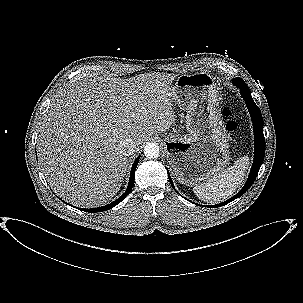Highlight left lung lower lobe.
<instances>
[{
    "label": "left lung lower lobe",
    "mask_w": 303,
    "mask_h": 303,
    "mask_svg": "<svg viewBox=\"0 0 303 303\" xmlns=\"http://www.w3.org/2000/svg\"><path fill=\"white\" fill-rule=\"evenodd\" d=\"M233 83L240 88L241 95L245 101V104L251 114L253 126H254V141H255V152H254V161L253 165L250 171V174L248 176V179L246 181V184L243 186V188L232 198L228 199L227 201L217 204V205H211L209 207H220L223 205H226L233 200L237 199L238 197L242 196L253 184L255 181L259 169L263 163L264 154H265V138L263 135V119L260 113L259 108L255 104V102L252 99L251 92L248 88V86L245 84V82L241 78H235L233 80ZM169 181L174 188L173 182L171 180L170 174L168 172Z\"/></svg>",
    "instance_id": "1"
}]
</instances>
